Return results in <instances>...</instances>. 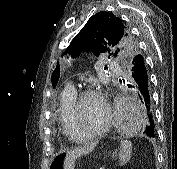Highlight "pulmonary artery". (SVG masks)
Listing matches in <instances>:
<instances>
[{
    "label": "pulmonary artery",
    "mask_w": 177,
    "mask_h": 169,
    "mask_svg": "<svg viewBox=\"0 0 177 169\" xmlns=\"http://www.w3.org/2000/svg\"><path fill=\"white\" fill-rule=\"evenodd\" d=\"M69 86L74 87L72 84H70Z\"/></svg>",
    "instance_id": "1"
}]
</instances>
